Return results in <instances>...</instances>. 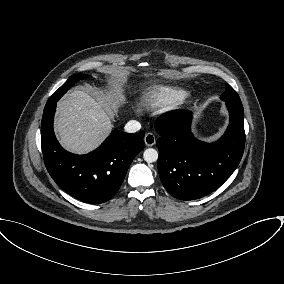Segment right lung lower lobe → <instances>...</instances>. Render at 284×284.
Here are the masks:
<instances>
[{
  "mask_svg": "<svg viewBox=\"0 0 284 284\" xmlns=\"http://www.w3.org/2000/svg\"><path fill=\"white\" fill-rule=\"evenodd\" d=\"M56 102L44 108L41 145L46 168L56 184L87 203L110 200L119 190L135 156L144 148V131H113L99 148L85 155L64 150L53 131Z\"/></svg>",
  "mask_w": 284,
  "mask_h": 284,
  "instance_id": "98d812e1",
  "label": "right lung lower lobe"
}]
</instances>
